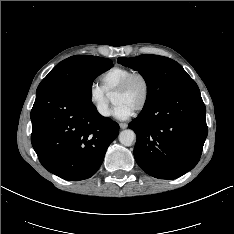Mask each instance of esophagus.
Here are the masks:
<instances>
[{"label":"esophagus","instance_id":"1","mask_svg":"<svg viewBox=\"0 0 234 234\" xmlns=\"http://www.w3.org/2000/svg\"><path fill=\"white\" fill-rule=\"evenodd\" d=\"M119 125L121 129H126L128 126L126 123H120Z\"/></svg>","mask_w":234,"mask_h":234}]
</instances>
